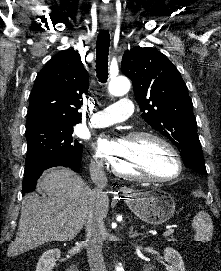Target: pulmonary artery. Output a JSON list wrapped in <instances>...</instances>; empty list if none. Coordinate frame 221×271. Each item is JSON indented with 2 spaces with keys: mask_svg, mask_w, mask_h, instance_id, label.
I'll use <instances>...</instances> for the list:
<instances>
[{
  "mask_svg": "<svg viewBox=\"0 0 221 271\" xmlns=\"http://www.w3.org/2000/svg\"><path fill=\"white\" fill-rule=\"evenodd\" d=\"M120 102H115V107H107V112H90V121L88 126H114V122H133L131 112L133 108L130 107L129 98H120Z\"/></svg>",
  "mask_w": 221,
  "mask_h": 271,
  "instance_id": "pulmonary-artery-1",
  "label": "pulmonary artery"
}]
</instances>
